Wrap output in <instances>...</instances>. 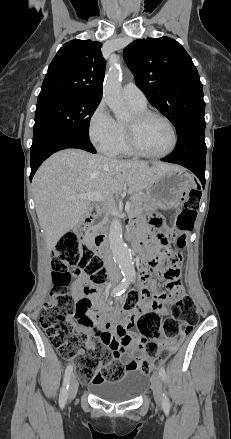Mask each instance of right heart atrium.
Segmentation results:
<instances>
[{"instance_id":"d8ad5b80","label":"right heart atrium","mask_w":231,"mask_h":439,"mask_svg":"<svg viewBox=\"0 0 231 439\" xmlns=\"http://www.w3.org/2000/svg\"><path fill=\"white\" fill-rule=\"evenodd\" d=\"M88 135L92 144L105 153L110 151L118 141L117 122L111 116L103 101L97 104L89 117Z\"/></svg>"}]
</instances>
